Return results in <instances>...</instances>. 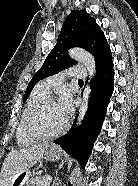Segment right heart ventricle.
I'll return each mask as SVG.
<instances>
[{
  "mask_svg": "<svg viewBox=\"0 0 138 186\" xmlns=\"http://www.w3.org/2000/svg\"><path fill=\"white\" fill-rule=\"evenodd\" d=\"M48 95L49 93H47L42 88L41 83H39L33 90L31 96L29 97L16 131V141L19 146H30L37 141L36 139L27 135L25 131V120L29 112L33 109V107L37 105L41 100L48 97Z\"/></svg>",
  "mask_w": 138,
  "mask_h": 186,
  "instance_id": "1",
  "label": "right heart ventricle"
}]
</instances>
